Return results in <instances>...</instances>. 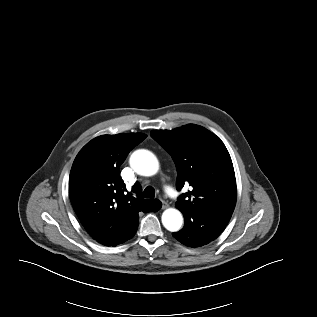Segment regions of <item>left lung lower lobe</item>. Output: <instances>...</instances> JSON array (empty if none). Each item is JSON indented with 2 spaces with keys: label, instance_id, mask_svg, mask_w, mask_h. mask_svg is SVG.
I'll return each instance as SVG.
<instances>
[{
  "label": "left lung lower lobe",
  "instance_id": "0a47b994",
  "mask_svg": "<svg viewBox=\"0 0 317 317\" xmlns=\"http://www.w3.org/2000/svg\"><path fill=\"white\" fill-rule=\"evenodd\" d=\"M184 227L172 235L189 247H200L215 240L228 224L231 215L213 210L184 213Z\"/></svg>",
  "mask_w": 317,
  "mask_h": 317
}]
</instances>
